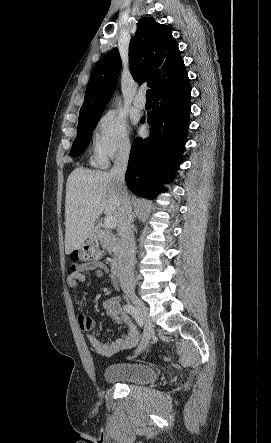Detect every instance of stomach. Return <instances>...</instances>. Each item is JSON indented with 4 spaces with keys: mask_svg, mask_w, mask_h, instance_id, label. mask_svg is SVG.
<instances>
[{
    "mask_svg": "<svg viewBox=\"0 0 271 443\" xmlns=\"http://www.w3.org/2000/svg\"><path fill=\"white\" fill-rule=\"evenodd\" d=\"M97 237H98V233L94 229V231H92V233H90L89 239H97Z\"/></svg>",
    "mask_w": 271,
    "mask_h": 443,
    "instance_id": "stomach-1",
    "label": "stomach"
}]
</instances>
